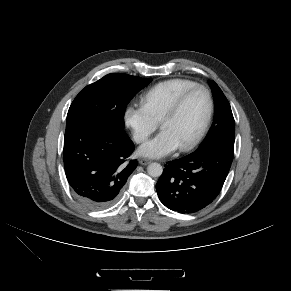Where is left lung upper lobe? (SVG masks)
<instances>
[{
	"mask_svg": "<svg viewBox=\"0 0 291 291\" xmlns=\"http://www.w3.org/2000/svg\"><path fill=\"white\" fill-rule=\"evenodd\" d=\"M210 87L214 96L215 116L205 140L198 149L216 143H228L234 145L235 140V121L229 102L214 81L210 82Z\"/></svg>",
	"mask_w": 291,
	"mask_h": 291,
	"instance_id": "1",
	"label": "left lung upper lobe"
}]
</instances>
